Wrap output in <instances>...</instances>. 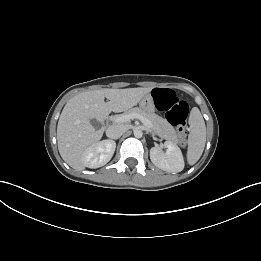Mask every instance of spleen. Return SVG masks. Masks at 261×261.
<instances>
[{
    "mask_svg": "<svg viewBox=\"0 0 261 261\" xmlns=\"http://www.w3.org/2000/svg\"><path fill=\"white\" fill-rule=\"evenodd\" d=\"M189 125L187 162L189 165H193L200 159L206 143L205 122L197 108H194L191 112Z\"/></svg>",
    "mask_w": 261,
    "mask_h": 261,
    "instance_id": "obj_1",
    "label": "spleen"
}]
</instances>
